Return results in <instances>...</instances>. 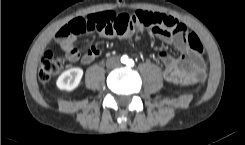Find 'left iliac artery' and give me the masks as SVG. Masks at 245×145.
Segmentation results:
<instances>
[{
	"instance_id": "left-iliac-artery-1",
	"label": "left iliac artery",
	"mask_w": 245,
	"mask_h": 145,
	"mask_svg": "<svg viewBox=\"0 0 245 145\" xmlns=\"http://www.w3.org/2000/svg\"><path fill=\"white\" fill-rule=\"evenodd\" d=\"M127 66H128V67L134 66V61L130 59V60L128 61V63H127Z\"/></svg>"
}]
</instances>
